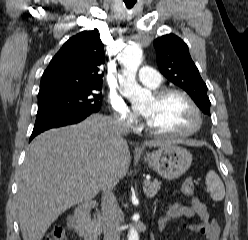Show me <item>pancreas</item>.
Masks as SVG:
<instances>
[{
  "label": "pancreas",
  "mask_w": 248,
  "mask_h": 240,
  "mask_svg": "<svg viewBox=\"0 0 248 240\" xmlns=\"http://www.w3.org/2000/svg\"><path fill=\"white\" fill-rule=\"evenodd\" d=\"M160 189V182L158 180H154L153 182L145 181L144 183V193L148 198L154 197ZM93 224L96 226L98 232L101 229V219L100 216L97 215L94 220Z\"/></svg>",
  "instance_id": "pancreas-1"
}]
</instances>
